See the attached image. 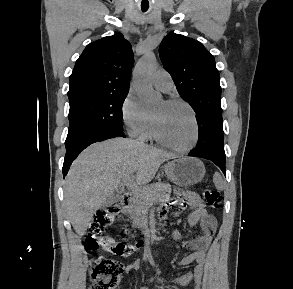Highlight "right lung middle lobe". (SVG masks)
<instances>
[{"label":"right lung middle lobe","mask_w":293,"mask_h":289,"mask_svg":"<svg viewBox=\"0 0 293 289\" xmlns=\"http://www.w3.org/2000/svg\"><path fill=\"white\" fill-rule=\"evenodd\" d=\"M127 94L86 96L70 101L69 130L65 144L103 129H120Z\"/></svg>","instance_id":"obj_1"}]
</instances>
